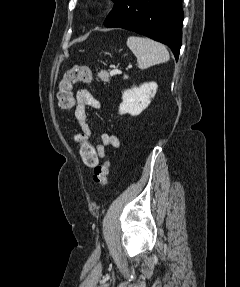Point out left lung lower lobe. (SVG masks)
<instances>
[{"mask_svg":"<svg viewBox=\"0 0 240 287\" xmlns=\"http://www.w3.org/2000/svg\"><path fill=\"white\" fill-rule=\"evenodd\" d=\"M106 27L135 31L168 45L178 60L181 41L182 0H114Z\"/></svg>","mask_w":240,"mask_h":287,"instance_id":"0a47b994","label":"left lung lower lobe"}]
</instances>
